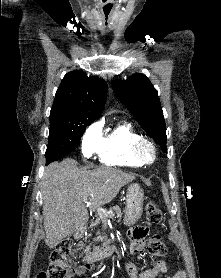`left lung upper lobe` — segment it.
I'll return each instance as SVG.
<instances>
[{
    "label": "left lung upper lobe",
    "instance_id": "1",
    "mask_svg": "<svg viewBox=\"0 0 221 278\" xmlns=\"http://www.w3.org/2000/svg\"><path fill=\"white\" fill-rule=\"evenodd\" d=\"M112 88L146 133L167 152L166 129L157 90L143 74H135L126 80H115Z\"/></svg>",
    "mask_w": 221,
    "mask_h": 278
}]
</instances>
